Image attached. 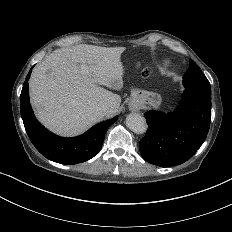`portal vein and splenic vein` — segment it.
<instances>
[{"mask_svg":"<svg viewBox=\"0 0 232 232\" xmlns=\"http://www.w3.org/2000/svg\"><path fill=\"white\" fill-rule=\"evenodd\" d=\"M81 69L84 70V71H87L88 70V66L86 64H82L81 65Z\"/></svg>","mask_w":232,"mask_h":232,"instance_id":"portal-vein-and-splenic-vein-1","label":"portal vein and splenic vein"}]
</instances>
